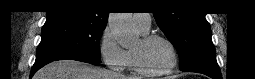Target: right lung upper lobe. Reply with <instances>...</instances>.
Instances as JSON below:
<instances>
[{
  "mask_svg": "<svg viewBox=\"0 0 255 79\" xmlns=\"http://www.w3.org/2000/svg\"><path fill=\"white\" fill-rule=\"evenodd\" d=\"M98 0H57L47 11L46 22L69 21L106 26L109 12Z\"/></svg>",
  "mask_w": 255,
  "mask_h": 79,
  "instance_id": "1",
  "label": "right lung upper lobe"
}]
</instances>
